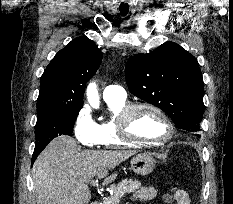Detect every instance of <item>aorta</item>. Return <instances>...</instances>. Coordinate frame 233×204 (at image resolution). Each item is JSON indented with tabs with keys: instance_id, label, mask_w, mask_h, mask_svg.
<instances>
[{
	"instance_id": "762f6f07",
	"label": "aorta",
	"mask_w": 233,
	"mask_h": 204,
	"mask_svg": "<svg viewBox=\"0 0 233 204\" xmlns=\"http://www.w3.org/2000/svg\"><path fill=\"white\" fill-rule=\"evenodd\" d=\"M86 94L89 104L95 109L99 108V104H100L99 95H98L97 86L94 82L88 85Z\"/></svg>"
}]
</instances>
